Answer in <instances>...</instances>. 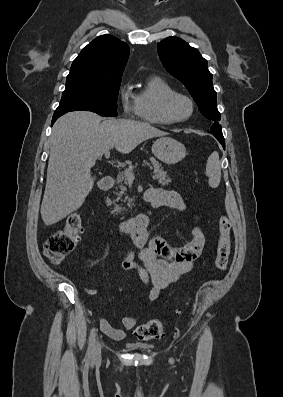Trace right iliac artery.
<instances>
[{
  "mask_svg": "<svg viewBox=\"0 0 283 397\" xmlns=\"http://www.w3.org/2000/svg\"><path fill=\"white\" fill-rule=\"evenodd\" d=\"M95 341H96V329L93 328L89 337V345H88V356H92L95 350Z\"/></svg>",
  "mask_w": 283,
  "mask_h": 397,
  "instance_id": "82829eb1",
  "label": "right iliac artery"
}]
</instances>
